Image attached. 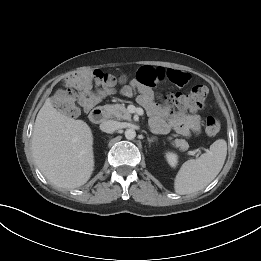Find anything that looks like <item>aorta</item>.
Instances as JSON below:
<instances>
[{"label": "aorta", "instance_id": "aorta-1", "mask_svg": "<svg viewBox=\"0 0 261 261\" xmlns=\"http://www.w3.org/2000/svg\"><path fill=\"white\" fill-rule=\"evenodd\" d=\"M125 137L128 140H132L136 137V132L134 129H126L125 131Z\"/></svg>", "mask_w": 261, "mask_h": 261}]
</instances>
